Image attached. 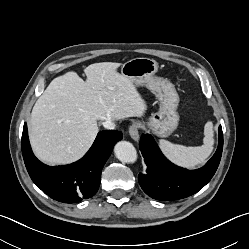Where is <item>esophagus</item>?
Here are the masks:
<instances>
[{"instance_id": "esophagus-1", "label": "esophagus", "mask_w": 249, "mask_h": 249, "mask_svg": "<svg viewBox=\"0 0 249 249\" xmlns=\"http://www.w3.org/2000/svg\"><path fill=\"white\" fill-rule=\"evenodd\" d=\"M139 128L140 125L139 123L136 122L129 127V135L135 141L139 140Z\"/></svg>"}]
</instances>
